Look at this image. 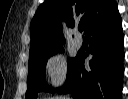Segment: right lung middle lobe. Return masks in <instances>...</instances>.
<instances>
[{
    "mask_svg": "<svg viewBox=\"0 0 128 99\" xmlns=\"http://www.w3.org/2000/svg\"><path fill=\"white\" fill-rule=\"evenodd\" d=\"M60 51H63V47L29 58V62H28L29 72L27 79L28 88L26 92V99L37 97L38 92L41 91H46L51 93L57 91V88L56 89L50 88L46 84L44 78H45V67L48 58L51 55L58 53ZM76 58L77 56L75 58L68 59L67 77L76 61Z\"/></svg>",
    "mask_w": 128,
    "mask_h": 99,
    "instance_id": "1",
    "label": "right lung middle lobe"
}]
</instances>
